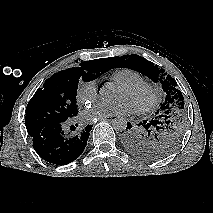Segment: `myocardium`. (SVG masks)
Returning <instances> with one entry per match:
<instances>
[{
    "instance_id": "f54148a6",
    "label": "myocardium",
    "mask_w": 213,
    "mask_h": 213,
    "mask_svg": "<svg viewBox=\"0 0 213 213\" xmlns=\"http://www.w3.org/2000/svg\"><path fill=\"white\" fill-rule=\"evenodd\" d=\"M145 88L150 93V101L147 105L143 107L133 108L134 112L139 115H143L153 111L158 103V91L154 84L147 81H139L132 84L121 86V89L128 92H135L139 89Z\"/></svg>"
}]
</instances>
